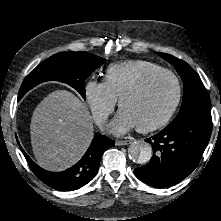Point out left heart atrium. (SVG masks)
<instances>
[{
	"instance_id": "left-heart-atrium-1",
	"label": "left heart atrium",
	"mask_w": 221,
	"mask_h": 221,
	"mask_svg": "<svg viewBox=\"0 0 221 221\" xmlns=\"http://www.w3.org/2000/svg\"><path fill=\"white\" fill-rule=\"evenodd\" d=\"M136 127L133 119L125 111L120 110L115 120L109 125V131L114 134H121Z\"/></svg>"
}]
</instances>
